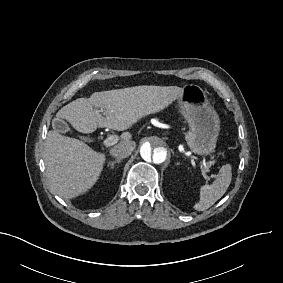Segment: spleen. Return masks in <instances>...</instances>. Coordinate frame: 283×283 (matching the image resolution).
<instances>
[{"mask_svg":"<svg viewBox=\"0 0 283 283\" xmlns=\"http://www.w3.org/2000/svg\"><path fill=\"white\" fill-rule=\"evenodd\" d=\"M232 180V169L229 164L223 165L219 170L217 178L211 185H202L199 188V201L194 204L193 209L204 211L220 199L228 189Z\"/></svg>","mask_w":283,"mask_h":283,"instance_id":"1","label":"spleen"}]
</instances>
